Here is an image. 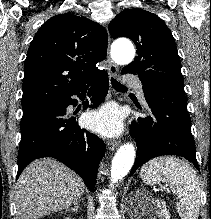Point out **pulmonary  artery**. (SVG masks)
Masks as SVG:
<instances>
[{
    "instance_id": "pulmonary-artery-1",
    "label": "pulmonary artery",
    "mask_w": 211,
    "mask_h": 219,
    "mask_svg": "<svg viewBox=\"0 0 211 219\" xmlns=\"http://www.w3.org/2000/svg\"><path fill=\"white\" fill-rule=\"evenodd\" d=\"M125 81L127 83H130L134 86V88L136 89L140 99L142 101L145 100V97H144V92H143V85H142V82L138 79V78H135V77H131V76H126L125 77Z\"/></svg>"
}]
</instances>
